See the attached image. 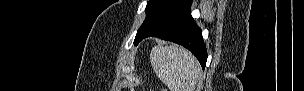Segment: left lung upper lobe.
Here are the masks:
<instances>
[{
	"mask_svg": "<svg viewBox=\"0 0 304 91\" xmlns=\"http://www.w3.org/2000/svg\"><path fill=\"white\" fill-rule=\"evenodd\" d=\"M170 0H150L146 6V18L138 30L134 43L136 44L141 36L155 23L165 6Z\"/></svg>",
	"mask_w": 304,
	"mask_h": 91,
	"instance_id": "1",
	"label": "left lung upper lobe"
}]
</instances>
